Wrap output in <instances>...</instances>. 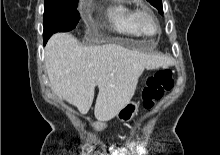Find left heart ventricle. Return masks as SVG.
<instances>
[{"label": "left heart ventricle", "instance_id": "left-heart-ventricle-1", "mask_svg": "<svg viewBox=\"0 0 220 155\" xmlns=\"http://www.w3.org/2000/svg\"><path fill=\"white\" fill-rule=\"evenodd\" d=\"M141 27L143 31L149 35L153 34L156 31V25L153 19L146 15L141 20Z\"/></svg>", "mask_w": 220, "mask_h": 155}]
</instances>
